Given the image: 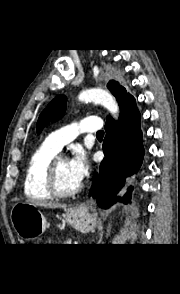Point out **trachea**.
Here are the masks:
<instances>
[{
  "instance_id": "3493384b",
  "label": "trachea",
  "mask_w": 180,
  "mask_h": 294,
  "mask_svg": "<svg viewBox=\"0 0 180 294\" xmlns=\"http://www.w3.org/2000/svg\"><path fill=\"white\" fill-rule=\"evenodd\" d=\"M104 135V131H98L97 132V136H103Z\"/></svg>"
}]
</instances>
